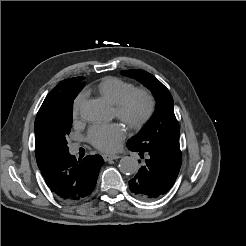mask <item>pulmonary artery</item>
Returning a JSON list of instances; mask_svg holds the SVG:
<instances>
[{"label":"pulmonary artery","instance_id":"1","mask_svg":"<svg viewBox=\"0 0 246 246\" xmlns=\"http://www.w3.org/2000/svg\"><path fill=\"white\" fill-rule=\"evenodd\" d=\"M76 149H77V145H73L72 150H76Z\"/></svg>","mask_w":246,"mask_h":246}]
</instances>
